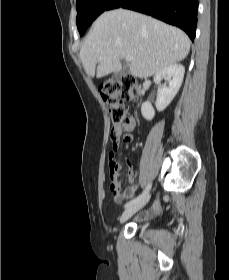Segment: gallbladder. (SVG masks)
<instances>
[{"label":"gallbladder","mask_w":229,"mask_h":280,"mask_svg":"<svg viewBox=\"0 0 229 280\" xmlns=\"http://www.w3.org/2000/svg\"><path fill=\"white\" fill-rule=\"evenodd\" d=\"M129 73L127 68H122L120 71L114 73L113 78L120 79L122 76L127 75Z\"/></svg>","instance_id":"gallbladder-1"}]
</instances>
